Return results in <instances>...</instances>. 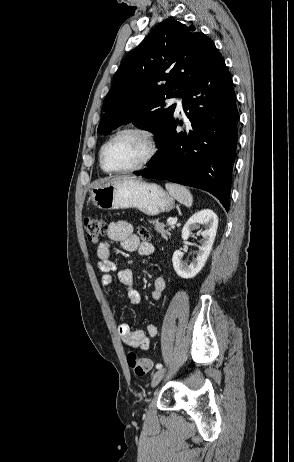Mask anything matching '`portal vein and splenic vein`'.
I'll return each mask as SVG.
<instances>
[{
  "instance_id": "obj_1",
  "label": "portal vein and splenic vein",
  "mask_w": 294,
  "mask_h": 462,
  "mask_svg": "<svg viewBox=\"0 0 294 462\" xmlns=\"http://www.w3.org/2000/svg\"><path fill=\"white\" fill-rule=\"evenodd\" d=\"M167 223L170 226H175V224L177 223V219L176 218H168Z\"/></svg>"
}]
</instances>
